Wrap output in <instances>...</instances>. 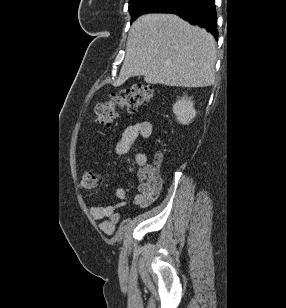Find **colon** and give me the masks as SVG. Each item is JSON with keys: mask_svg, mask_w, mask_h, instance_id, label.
Returning a JSON list of instances; mask_svg holds the SVG:
<instances>
[{"mask_svg": "<svg viewBox=\"0 0 286 308\" xmlns=\"http://www.w3.org/2000/svg\"><path fill=\"white\" fill-rule=\"evenodd\" d=\"M155 99L154 90L147 85H135L117 94H113L111 99L104 103H98L95 107L97 123L101 126L109 127L116 117L117 109L121 108L128 112H135L142 104ZM151 175L159 177L155 168ZM100 174L96 170H88L79 177V188L90 190L98 185Z\"/></svg>", "mask_w": 286, "mask_h": 308, "instance_id": "1", "label": "colon"}]
</instances>
